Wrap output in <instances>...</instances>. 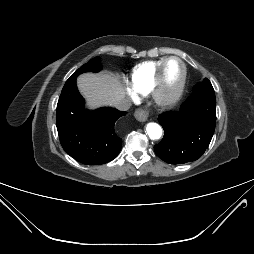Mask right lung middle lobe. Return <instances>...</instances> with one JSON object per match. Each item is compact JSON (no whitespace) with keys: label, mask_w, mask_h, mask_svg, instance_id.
Listing matches in <instances>:
<instances>
[{"label":"right lung middle lobe","mask_w":254,"mask_h":254,"mask_svg":"<svg viewBox=\"0 0 254 254\" xmlns=\"http://www.w3.org/2000/svg\"><path fill=\"white\" fill-rule=\"evenodd\" d=\"M102 69V65L100 63V58L95 57L94 59L89 60L86 64L81 66L76 72L69 78H77V76L84 72H98Z\"/></svg>","instance_id":"right-lung-middle-lobe-1"}]
</instances>
